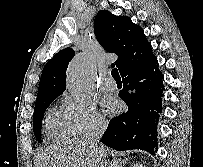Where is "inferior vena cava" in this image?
<instances>
[{
    "instance_id": "602c4592",
    "label": "inferior vena cava",
    "mask_w": 203,
    "mask_h": 167,
    "mask_svg": "<svg viewBox=\"0 0 203 167\" xmlns=\"http://www.w3.org/2000/svg\"><path fill=\"white\" fill-rule=\"evenodd\" d=\"M106 128H107L106 121L97 120L84 137V141H86L93 149L98 151L99 156L102 158V160H103V146L100 144V138L104 134ZM102 167H104L103 161Z\"/></svg>"
}]
</instances>
